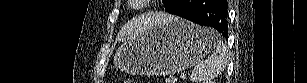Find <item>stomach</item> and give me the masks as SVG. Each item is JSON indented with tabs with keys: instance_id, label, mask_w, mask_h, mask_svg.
<instances>
[{
	"instance_id": "0dacf381",
	"label": "stomach",
	"mask_w": 307,
	"mask_h": 83,
	"mask_svg": "<svg viewBox=\"0 0 307 83\" xmlns=\"http://www.w3.org/2000/svg\"><path fill=\"white\" fill-rule=\"evenodd\" d=\"M207 31L177 17L156 23L120 46L114 64L130 74L171 75L183 71L212 49Z\"/></svg>"
}]
</instances>
